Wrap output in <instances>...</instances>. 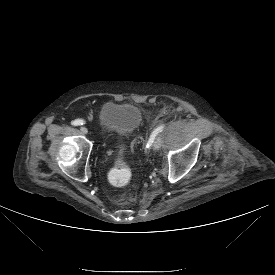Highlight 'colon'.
I'll list each match as a JSON object with an SVG mask.
<instances>
[{
    "instance_id": "obj_1",
    "label": "colon",
    "mask_w": 275,
    "mask_h": 275,
    "mask_svg": "<svg viewBox=\"0 0 275 275\" xmlns=\"http://www.w3.org/2000/svg\"><path fill=\"white\" fill-rule=\"evenodd\" d=\"M108 178L115 186L124 185L131 178V170L126 164L117 163L110 168Z\"/></svg>"
}]
</instances>
